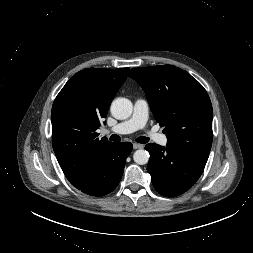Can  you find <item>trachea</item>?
<instances>
[{
	"label": "trachea",
	"instance_id": "trachea-1",
	"mask_svg": "<svg viewBox=\"0 0 253 253\" xmlns=\"http://www.w3.org/2000/svg\"><path fill=\"white\" fill-rule=\"evenodd\" d=\"M109 139H110L111 141H115V142L121 141L120 136H118V135H116V134L111 135ZM136 141H137L138 143H147V142L149 141V138H147V137H138V138L136 139Z\"/></svg>",
	"mask_w": 253,
	"mask_h": 253
}]
</instances>
